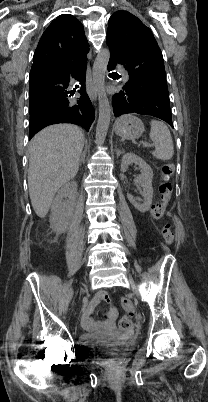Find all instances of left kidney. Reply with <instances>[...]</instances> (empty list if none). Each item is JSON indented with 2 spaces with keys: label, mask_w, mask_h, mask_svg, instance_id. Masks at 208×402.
<instances>
[{
  "label": "left kidney",
  "mask_w": 208,
  "mask_h": 402,
  "mask_svg": "<svg viewBox=\"0 0 208 402\" xmlns=\"http://www.w3.org/2000/svg\"><path fill=\"white\" fill-rule=\"evenodd\" d=\"M130 164H136V166L141 168V176H137L136 182H139L143 188L144 200H138L137 202L136 198H133L131 194H127V198L129 202L133 204L136 210H139V212H148V210H150L153 198V170H151L150 166H148V164H146L142 158H139V156H136V154H132V152H129V154H124L121 162V172H127ZM140 202H142V204H140Z\"/></svg>",
  "instance_id": "5707ae66"
}]
</instances>
